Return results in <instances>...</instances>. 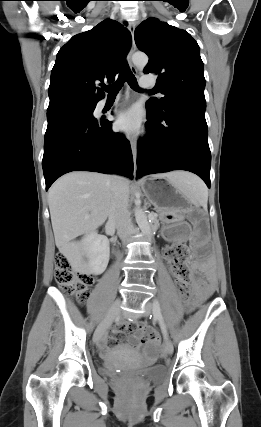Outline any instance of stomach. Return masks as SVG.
Masks as SVG:
<instances>
[{
	"mask_svg": "<svg viewBox=\"0 0 261 427\" xmlns=\"http://www.w3.org/2000/svg\"><path fill=\"white\" fill-rule=\"evenodd\" d=\"M141 187L165 222L183 220L191 208L190 199L180 190L178 184L169 178L164 181L155 176L144 180Z\"/></svg>",
	"mask_w": 261,
	"mask_h": 427,
	"instance_id": "0dacf381",
	"label": "stomach"
}]
</instances>
